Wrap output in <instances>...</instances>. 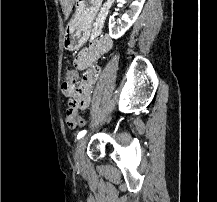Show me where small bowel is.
<instances>
[{"mask_svg":"<svg viewBox=\"0 0 217 202\" xmlns=\"http://www.w3.org/2000/svg\"><path fill=\"white\" fill-rule=\"evenodd\" d=\"M113 47V41L109 35H101L94 40L87 48L82 49L74 59L77 69H84L88 66L89 59H97L107 54ZM101 73L99 66L88 68L82 78L81 86L84 88V95H91V89ZM87 106H93V101H87ZM69 109V108H68ZM66 114V116H76ZM67 122V121H66Z\"/></svg>","mask_w":217,"mask_h":202,"instance_id":"1","label":"small bowel"}]
</instances>
